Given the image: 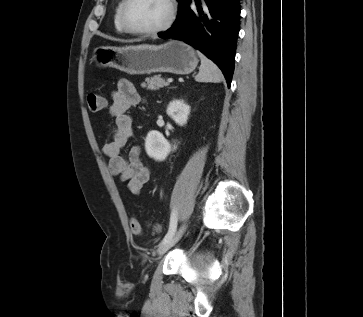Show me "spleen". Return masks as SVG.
Here are the masks:
<instances>
[{
    "label": "spleen",
    "mask_w": 363,
    "mask_h": 317,
    "mask_svg": "<svg viewBox=\"0 0 363 317\" xmlns=\"http://www.w3.org/2000/svg\"><path fill=\"white\" fill-rule=\"evenodd\" d=\"M201 59V65L199 68V73L195 76L197 82H221L223 79V74L218 66L208 59L203 53L198 52Z\"/></svg>",
    "instance_id": "3e777b00"
}]
</instances>
